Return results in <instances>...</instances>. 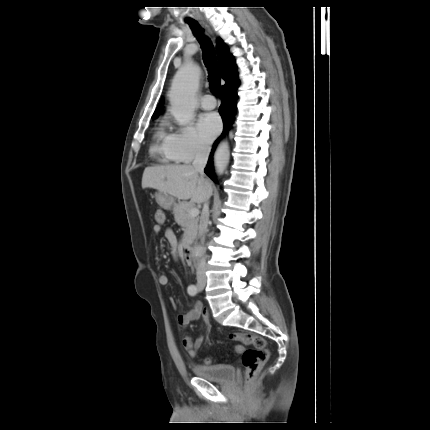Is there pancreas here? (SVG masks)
Masks as SVG:
<instances>
[{
    "mask_svg": "<svg viewBox=\"0 0 430 430\" xmlns=\"http://www.w3.org/2000/svg\"><path fill=\"white\" fill-rule=\"evenodd\" d=\"M192 208V204L187 202H180L174 206L175 221L178 225L183 227L184 234L182 238L183 244H186L193 240L197 234L198 229V216H191L189 210Z\"/></svg>",
    "mask_w": 430,
    "mask_h": 430,
    "instance_id": "cf45deb5",
    "label": "pancreas"
}]
</instances>
